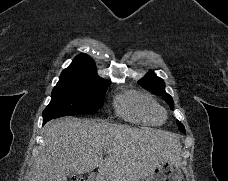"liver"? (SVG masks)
<instances>
[{
	"instance_id": "6515ba94",
	"label": "liver",
	"mask_w": 228,
	"mask_h": 181,
	"mask_svg": "<svg viewBox=\"0 0 228 181\" xmlns=\"http://www.w3.org/2000/svg\"><path fill=\"white\" fill-rule=\"evenodd\" d=\"M43 133L44 147L30 181H67L70 171L84 175L97 167L99 181H140L154 175L161 163L177 165L182 149L173 133L95 119L49 121Z\"/></svg>"
}]
</instances>
